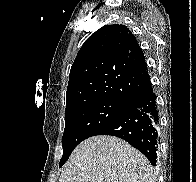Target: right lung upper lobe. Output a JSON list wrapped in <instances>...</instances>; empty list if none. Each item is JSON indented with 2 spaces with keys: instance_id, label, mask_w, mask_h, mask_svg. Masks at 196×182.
Listing matches in <instances>:
<instances>
[{
  "instance_id": "obj_1",
  "label": "right lung upper lobe",
  "mask_w": 196,
  "mask_h": 182,
  "mask_svg": "<svg viewBox=\"0 0 196 182\" xmlns=\"http://www.w3.org/2000/svg\"><path fill=\"white\" fill-rule=\"evenodd\" d=\"M150 77L142 49L124 25H106L82 45L71 67L66 111L97 99L131 103Z\"/></svg>"
}]
</instances>
